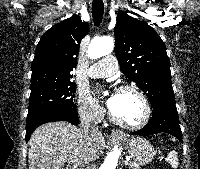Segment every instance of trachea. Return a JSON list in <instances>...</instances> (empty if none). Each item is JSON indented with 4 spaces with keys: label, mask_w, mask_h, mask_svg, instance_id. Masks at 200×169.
Listing matches in <instances>:
<instances>
[{
    "label": "trachea",
    "mask_w": 200,
    "mask_h": 169,
    "mask_svg": "<svg viewBox=\"0 0 200 169\" xmlns=\"http://www.w3.org/2000/svg\"><path fill=\"white\" fill-rule=\"evenodd\" d=\"M104 3L102 0H93L92 3V17L96 26L100 25L103 19Z\"/></svg>",
    "instance_id": "trachea-1"
}]
</instances>
